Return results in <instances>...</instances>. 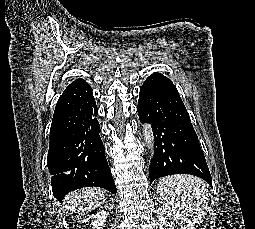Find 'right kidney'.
Listing matches in <instances>:
<instances>
[{"mask_svg":"<svg viewBox=\"0 0 255 229\" xmlns=\"http://www.w3.org/2000/svg\"><path fill=\"white\" fill-rule=\"evenodd\" d=\"M107 215L108 214L104 210L98 211L95 215L92 214L91 218L94 219V221L91 223L92 229H102Z\"/></svg>","mask_w":255,"mask_h":229,"instance_id":"1","label":"right kidney"}]
</instances>
